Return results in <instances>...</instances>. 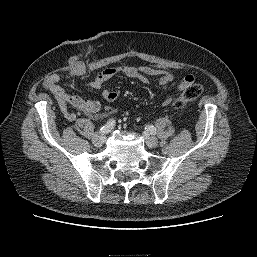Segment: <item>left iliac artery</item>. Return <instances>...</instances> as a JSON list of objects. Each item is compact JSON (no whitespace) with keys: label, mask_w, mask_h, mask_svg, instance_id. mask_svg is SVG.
Masks as SVG:
<instances>
[{"label":"left iliac artery","mask_w":257,"mask_h":257,"mask_svg":"<svg viewBox=\"0 0 257 257\" xmlns=\"http://www.w3.org/2000/svg\"><path fill=\"white\" fill-rule=\"evenodd\" d=\"M145 129L149 131L151 134H156V128L152 125H147Z\"/></svg>","instance_id":"1"}]
</instances>
